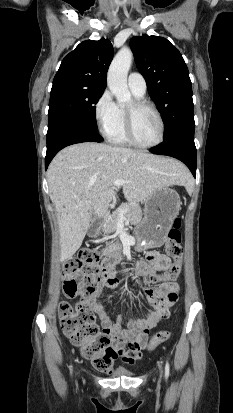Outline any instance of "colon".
I'll return each mask as SVG.
<instances>
[{
  "label": "colon",
  "instance_id": "1",
  "mask_svg": "<svg viewBox=\"0 0 233 413\" xmlns=\"http://www.w3.org/2000/svg\"><path fill=\"white\" fill-rule=\"evenodd\" d=\"M181 241V220L177 218L168 232L165 247L166 254L173 262L163 273L149 275L148 283L172 282L178 277L183 258ZM114 276V259H104L97 251L85 248L65 262L62 270L63 290L69 297L81 295L85 300L96 293L102 280ZM84 300L75 306L69 303L60 305L62 331L72 343L82 347L84 356L92 360L97 369L110 372L117 357L116 352L112 348L110 337L100 332L95 316L85 306ZM170 335L167 330L157 332L150 340L148 349L154 350L167 341Z\"/></svg>",
  "mask_w": 233,
  "mask_h": 413
}]
</instances>
